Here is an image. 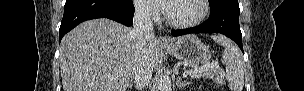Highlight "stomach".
Segmentation results:
<instances>
[{"label": "stomach", "instance_id": "0dacf381", "mask_svg": "<svg viewBox=\"0 0 304 91\" xmlns=\"http://www.w3.org/2000/svg\"><path fill=\"white\" fill-rule=\"evenodd\" d=\"M163 48L176 59L189 65L205 64L212 55L209 47L194 35L174 39L170 45Z\"/></svg>", "mask_w": 304, "mask_h": 91}]
</instances>
